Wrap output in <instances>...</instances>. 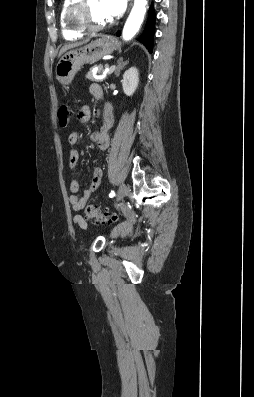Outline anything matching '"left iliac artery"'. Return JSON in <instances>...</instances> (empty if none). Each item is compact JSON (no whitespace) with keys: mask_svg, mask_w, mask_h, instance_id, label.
I'll list each match as a JSON object with an SVG mask.
<instances>
[{"mask_svg":"<svg viewBox=\"0 0 254 397\" xmlns=\"http://www.w3.org/2000/svg\"><path fill=\"white\" fill-rule=\"evenodd\" d=\"M114 196H115L114 191H111L110 194H109V197L112 198V197H114Z\"/></svg>","mask_w":254,"mask_h":397,"instance_id":"obj_1","label":"left iliac artery"}]
</instances>
